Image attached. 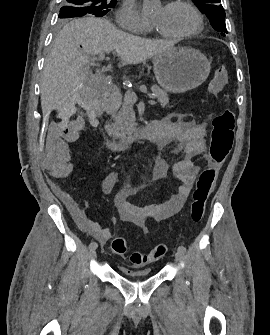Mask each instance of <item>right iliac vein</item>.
Returning a JSON list of instances; mask_svg holds the SVG:
<instances>
[{"label":"right iliac vein","instance_id":"63e3f726","mask_svg":"<svg viewBox=\"0 0 270 335\" xmlns=\"http://www.w3.org/2000/svg\"><path fill=\"white\" fill-rule=\"evenodd\" d=\"M90 257L94 259L96 257V249H90Z\"/></svg>","mask_w":270,"mask_h":335}]
</instances>
